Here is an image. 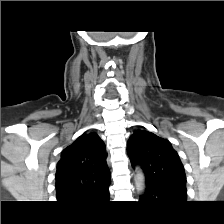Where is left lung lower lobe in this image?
<instances>
[{"label":"left lung lower lobe","mask_w":224,"mask_h":224,"mask_svg":"<svg viewBox=\"0 0 224 224\" xmlns=\"http://www.w3.org/2000/svg\"><path fill=\"white\" fill-rule=\"evenodd\" d=\"M187 190L179 186H164L146 182L141 201L154 203L182 204L186 202Z\"/></svg>","instance_id":"obj_1"}]
</instances>
